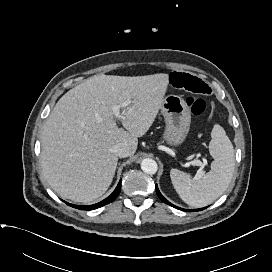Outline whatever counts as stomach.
<instances>
[{"label": "stomach", "instance_id": "obj_1", "mask_svg": "<svg viewBox=\"0 0 272 272\" xmlns=\"http://www.w3.org/2000/svg\"><path fill=\"white\" fill-rule=\"evenodd\" d=\"M161 113L166 122L164 138L170 145L181 144L190 129L191 112L185 100L178 95L164 98Z\"/></svg>", "mask_w": 272, "mask_h": 272}]
</instances>
